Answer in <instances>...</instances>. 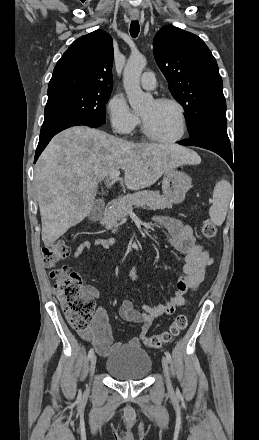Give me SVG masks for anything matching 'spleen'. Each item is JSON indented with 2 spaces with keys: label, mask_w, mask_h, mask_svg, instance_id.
I'll return each instance as SVG.
<instances>
[{
  "label": "spleen",
  "mask_w": 259,
  "mask_h": 440,
  "mask_svg": "<svg viewBox=\"0 0 259 440\" xmlns=\"http://www.w3.org/2000/svg\"><path fill=\"white\" fill-rule=\"evenodd\" d=\"M232 196V186L227 180L219 181L213 191V204L209 209L211 221L221 226L225 220L229 202Z\"/></svg>",
  "instance_id": "spleen-1"
}]
</instances>
